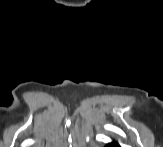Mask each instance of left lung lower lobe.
<instances>
[{
  "label": "left lung lower lobe",
  "instance_id": "obj_1",
  "mask_svg": "<svg viewBox=\"0 0 163 147\" xmlns=\"http://www.w3.org/2000/svg\"><path fill=\"white\" fill-rule=\"evenodd\" d=\"M109 147H120V146L118 145V143L112 142L111 144H109Z\"/></svg>",
  "mask_w": 163,
  "mask_h": 147
}]
</instances>
